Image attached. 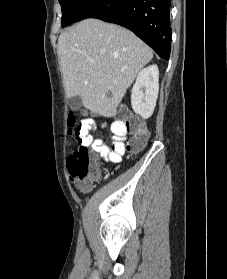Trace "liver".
I'll use <instances>...</instances> for the list:
<instances>
[{"mask_svg":"<svg viewBox=\"0 0 227 279\" xmlns=\"http://www.w3.org/2000/svg\"><path fill=\"white\" fill-rule=\"evenodd\" d=\"M66 95L80 96L85 108L104 117L117 107L152 49L131 31L99 19H85L58 39Z\"/></svg>","mask_w":227,"mask_h":279,"instance_id":"liver-1","label":"liver"}]
</instances>
